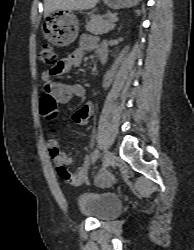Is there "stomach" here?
I'll list each match as a JSON object with an SVG mask.
<instances>
[{
    "label": "stomach",
    "mask_w": 194,
    "mask_h": 250,
    "mask_svg": "<svg viewBox=\"0 0 194 250\" xmlns=\"http://www.w3.org/2000/svg\"><path fill=\"white\" fill-rule=\"evenodd\" d=\"M113 9L130 7L138 0H104ZM43 35L50 43L66 47L70 45L78 36L79 24L76 15L72 11L55 10L46 18L42 27Z\"/></svg>",
    "instance_id": "stomach-1"
}]
</instances>
